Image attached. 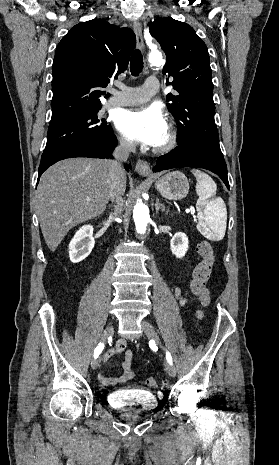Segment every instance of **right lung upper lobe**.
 Wrapping results in <instances>:
<instances>
[{"label": "right lung upper lobe", "instance_id": "obj_1", "mask_svg": "<svg viewBox=\"0 0 279 465\" xmlns=\"http://www.w3.org/2000/svg\"><path fill=\"white\" fill-rule=\"evenodd\" d=\"M136 43L129 28L93 19L75 25L58 44L53 61L51 124L101 107L109 78L123 72Z\"/></svg>", "mask_w": 279, "mask_h": 465}]
</instances>
